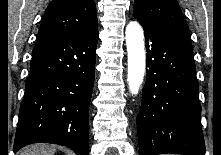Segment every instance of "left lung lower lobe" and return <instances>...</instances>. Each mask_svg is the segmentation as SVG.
Here are the masks:
<instances>
[{
	"label": "left lung lower lobe",
	"mask_w": 221,
	"mask_h": 155,
	"mask_svg": "<svg viewBox=\"0 0 221 155\" xmlns=\"http://www.w3.org/2000/svg\"><path fill=\"white\" fill-rule=\"evenodd\" d=\"M134 17L145 31L149 68L137 116L139 155H205L190 38Z\"/></svg>",
	"instance_id": "0a47b994"
}]
</instances>
